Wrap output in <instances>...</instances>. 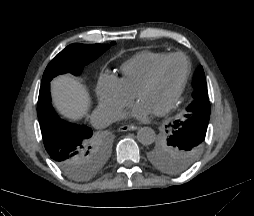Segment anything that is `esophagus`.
I'll use <instances>...</instances> for the list:
<instances>
[{
  "label": "esophagus",
  "instance_id": "esophagus-1",
  "mask_svg": "<svg viewBox=\"0 0 254 216\" xmlns=\"http://www.w3.org/2000/svg\"><path fill=\"white\" fill-rule=\"evenodd\" d=\"M138 127L135 125H123L118 128L119 132L136 130Z\"/></svg>",
  "mask_w": 254,
  "mask_h": 216
}]
</instances>
